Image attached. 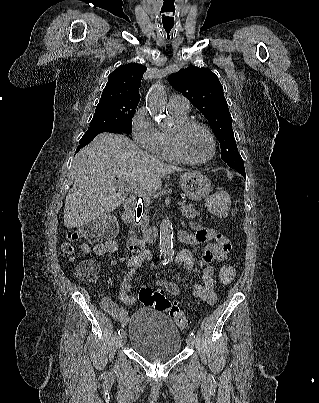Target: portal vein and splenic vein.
Instances as JSON below:
<instances>
[{
	"mask_svg": "<svg viewBox=\"0 0 319 403\" xmlns=\"http://www.w3.org/2000/svg\"><path fill=\"white\" fill-rule=\"evenodd\" d=\"M121 186L128 192H132V193H140L141 192L139 190V188L137 187V183L129 184V183H124L123 182V183H121ZM178 205L183 206V205H185V202L180 201V202H178Z\"/></svg>",
	"mask_w": 319,
	"mask_h": 403,
	"instance_id": "18ae733b",
	"label": "portal vein and splenic vein"
}]
</instances>
